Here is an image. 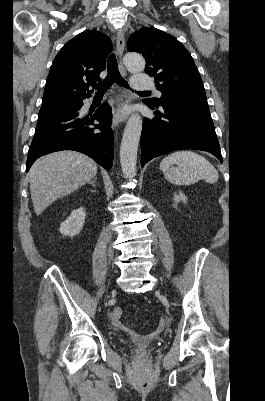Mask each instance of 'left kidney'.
Here are the masks:
<instances>
[{
  "label": "left kidney",
  "mask_w": 265,
  "mask_h": 401,
  "mask_svg": "<svg viewBox=\"0 0 265 401\" xmlns=\"http://www.w3.org/2000/svg\"><path fill=\"white\" fill-rule=\"evenodd\" d=\"M175 203H179V201H183V203H187V196L183 194V192H179V194H174Z\"/></svg>",
  "instance_id": "5707ae66"
}]
</instances>
